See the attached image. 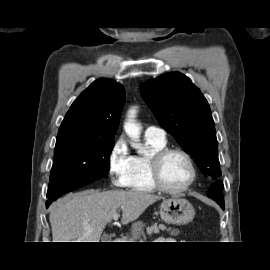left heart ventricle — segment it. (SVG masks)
Returning a JSON list of instances; mask_svg holds the SVG:
<instances>
[{
    "mask_svg": "<svg viewBox=\"0 0 270 270\" xmlns=\"http://www.w3.org/2000/svg\"><path fill=\"white\" fill-rule=\"evenodd\" d=\"M161 177L164 184L170 188H179L191 177V170L186 159L178 153L165 157L161 163Z\"/></svg>",
    "mask_w": 270,
    "mask_h": 270,
    "instance_id": "obj_1",
    "label": "left heart ventricle"
}]
</instances>
